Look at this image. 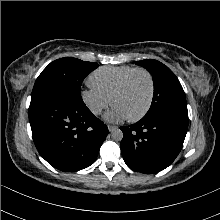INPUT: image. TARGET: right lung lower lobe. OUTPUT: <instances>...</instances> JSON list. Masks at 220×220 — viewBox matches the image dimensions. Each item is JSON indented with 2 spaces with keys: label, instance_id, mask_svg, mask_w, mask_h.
Returning <instances> with one entry per match:
<instances>
[{
  "label": "right lung lower lobe",
  "instance_id": "98d812e1",
  "mask_svg": "<svg viewBox=\"0 0 220 220\" xmlns=\"http://www.w3.org/2000/svg\"><path fill=\"white\" fill-rule=\"evenodd\" d=\"M29 120L40 155L65 172L90 166L108 135L107 126L84 102L57 93L33 95Z\"/></svg>",
  "mask_w": 220,
  "mask_h": 220
}]
</instances>
